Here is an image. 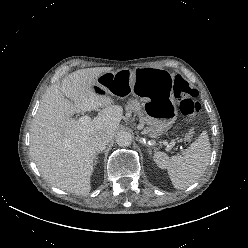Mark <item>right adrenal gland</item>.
<instances>
[{"instance_id":"obj_1","label":"right adrenal gland","mask_w":248,"mask_h":248,"mask_svg":"<svg viewBox=\"0 0 248 248\" xmlns=\"http://www.w3.org/2000/svg\"><path fill=\"white\" fill-rule=\"evenodd\" d=\"M100 152H97L96 154H95V157H94V162H95V164L97 163V155L99 154Z\"/></svg>"}]
</instances>
